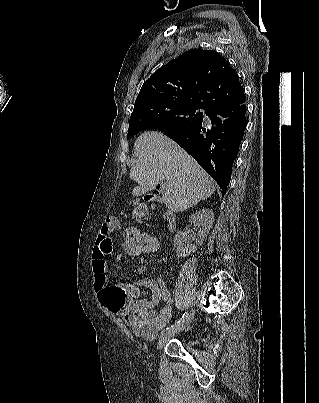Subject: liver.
<instances>
[{"instance_id":"1","label":"liver","mask_w":319,"mask_h":403,"mask_svg":"<svg viewBox=\"0 0 319 403\" xmlns=\"http://www.w3.org/2000/svg\"><path fill=\"white\" fill-rule=\"evenodd\" d=\"M134 155L137 160L130 179L138 186L132 190L133 196L146 194L164 181L165 205L173 212H182L215 192L214 181L196 160L161 132L141 134L135 141Z\"/></svg>"}]
</instances>
